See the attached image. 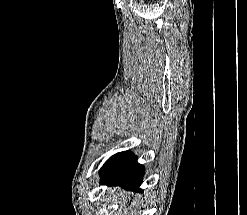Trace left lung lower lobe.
Instances as JSON below:
<instances>
[{"instance_id":"obj_1","label":"left lung lower lobe","mask_w":247,"mask_h":215,"mask_svg":"<svg viewBox=\"0 0 247 215\" xmlns=\"http://www.w3.org/2000/svg\"><path fill=\"white\" fill-rule=\"evenodd\" d=\"M102 184H113L128 190H138L144 168L131 152H120L110 157L100 170Z\"/></svg>"}]
</instances>
